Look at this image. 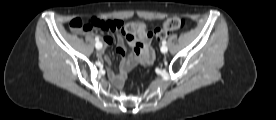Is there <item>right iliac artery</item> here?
<instances>
[{
    "mask_svg": "<svg viewBox=\"0 0 276 120\" xmlns=\"http://www.w3.org/2000/svg\"><path fill=\"white\" fill-rule=\"evenodd\" d=\"M95 40L99 42V37H96ZM98 48H102V44L98 45Z\"/></svg>",
    "mask_w": 276,
    "mask_h": 120,
    "instance_id": "82829eb1",
    "label": "right iliac artery"
}]
</instances>
